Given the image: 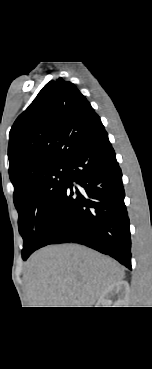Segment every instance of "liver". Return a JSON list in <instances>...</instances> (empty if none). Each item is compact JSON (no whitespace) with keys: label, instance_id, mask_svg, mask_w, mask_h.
Here are the masks:
<instances>
[{"label":"liver","instance_id":"obj_1","mask_svg":"<svg viewBox=\"0 0 152 369\" xmlns=\"http://www.w3.org/2000/svg\"><path fill=\"white\" fill-rule=\"evenodd\" d=\"M125 276L113 259L76 244L52 245L26 263L30 307H92L101 294Z\"/></svg>","mask_w":152,"mask_h":369}]
</instances>
